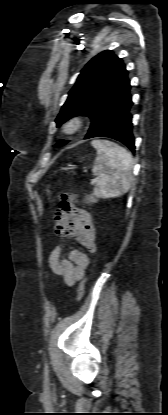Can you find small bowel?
Listing matches in <instances>:
<instances>
[{
    "mask_svg": "<svg viewBox=\"0 0 168 415\" xmlns=\"http://www.w3.org/2000/svg\"><path fill=\"white\" fill-rule=\"evenodd\" d=\"M74 197L63 195L59 209L55 213V229L59 235L75 238L86 250L70 251L67 257L63 255L60 245L53 248L49 256V265L52 271L62 277L66 285L72 286L81 280L90 264L88 255L96 251L95 227L89 211L76 207Z\"/></svg>",
    "mask_w": 168,
    "mask_h": 415,
    "instance_id": "c3829d8e",
    "label": "small bowel"
}]
</instances>
